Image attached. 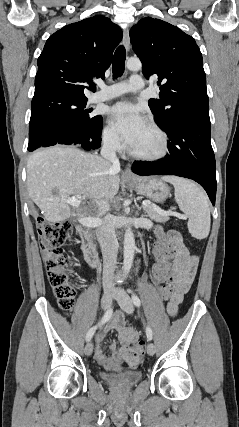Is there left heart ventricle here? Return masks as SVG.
Segmentation results:
<instances>
[{
  "label": "left heart ventricle",
  "mask_w": 239,
  "mask_h": 427,
  "mask_svg": "<svg viewBox=\"0 0 239 427\" xmlns=\"http://www.w3.org/2000/svg\"><path fill=\"white\" fill-rule=\"evenodd\" d=\"M161 140L159 135L146 123L136 140L130 147L139 153L154 154L159 151Z\"/></svg>",
  "instance_id": "b2bd125f"
}]
</instances>
